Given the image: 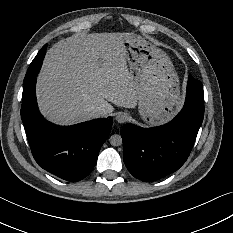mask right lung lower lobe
I'll return each instance as SVG.
<instances>
[{"label":"right lung lower lobe","instance_id":"obj_1","mask_svg":"<svg viewBox=\"0 0 233 233\" xmlns=\"http://www.w3.org/2000/svg\"><path fill=\"white\" fill-rule=\"evenodd\" d=\"M46 48L47 45H44L35 62L31 63L33 74L24 85L21 118L38 165L64 180L76 182L93 170L113 120L109 117L72 126H58L42 117L37 106L35 86Z\"/></svg>","mask_w":233,"mask_h":233}]
</instances>
